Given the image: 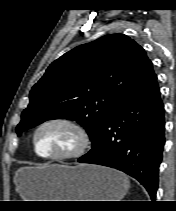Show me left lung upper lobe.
I'll return each mask as SVG.
<instances>
[{"instance_id": "obj_1", "label": "left lung upper lobe", "mask_w": 176, "mask_h": 211, "mask_svg": "<svg viewBox=\"0 0 176 211\" xmlns=\"http://www.w3.org/2000/svg\"><path fill=\"white\" fill-rule=\"evenodd\" d=\"M157 82L144 49L123 34L78 46L55 60L33 86L18 136L46 120H76L95 144L113 112Z\"/></svg>"}]
</instances>
